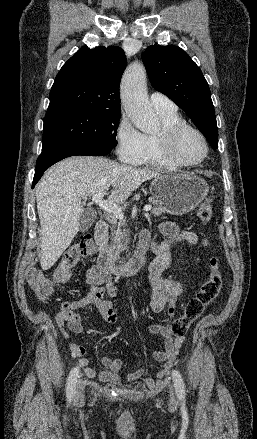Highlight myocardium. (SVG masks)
Returning <instances> with one entry per match:
<instances>
[{
    "label": "myocardium",
    "instance_id": "f54148a6",
    "mask_svg": "<svg viewBox=\"0 0 257 439\" xmlns=\"http://www.w3.org/2000/svg\"><path fill=\"white\" fill-rule=\"evenodd\" d=\"M186 131H192L199 136L204 145V154L201 159L195 162L182 161L175 152V146L179 137ZM158 143L166 160L174 167L178 168H193L202 164L209 154V144L204 133L197 127L186 122L165 127L161 130L158 138Z\"/></svg>",
    "mask_w": 257,
    "mask_h": 439
}]
</instances>
